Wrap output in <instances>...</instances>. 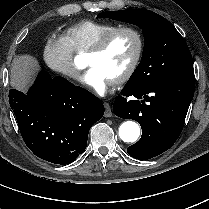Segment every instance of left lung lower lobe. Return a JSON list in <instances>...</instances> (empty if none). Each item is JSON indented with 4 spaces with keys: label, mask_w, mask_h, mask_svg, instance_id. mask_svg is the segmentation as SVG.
<instances>
[{
    "label": "left lung lower lobe",
    "mask_w": 209,
    "mask_h": 209,
    "mask_svg": "<svg viewBox=\"0 0 209 209\" xmlns=\"http://www.w3.org/2000/svg\"><path fill=\"white\" fill-rule=\"evenodd\" d=\"M195 88L194 71L146 85L126 84L113 104L120 118L136 120L141 139L128 147L134 158L147 160L168 150L179 137ZM132 100L126 99L130 97Z\"/></svg>",
    "instance_id": "0a47b994"
}]
</instances>
